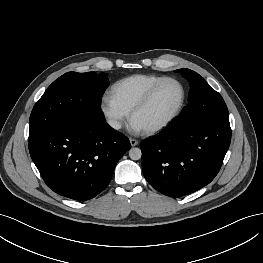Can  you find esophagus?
<instances>
[{
    "label": "esophagus",
    "instance_id": "obj_1",
    "mask_svg": "<svg viewBox=\"0 0 263 263\" xmlns=\"http://www.w3.org/2000/svg\"><path fill=\"white\" fill-rule=\"evenodd\" d=\"M138 143H139L138 140H136L134 138H130V144L132 147L138 145Z\"/></svg>",
    "mask_w": 263,
    "mask_h": 263
}]
</instances>
